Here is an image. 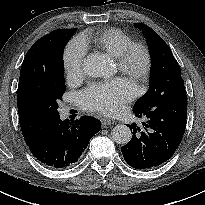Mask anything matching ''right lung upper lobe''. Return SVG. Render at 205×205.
Here are the masks:
<instances>
[{
    "label": "right lung upper lobe",
    "mask_w": 205,
    "mask_h": 205,
    "mask_svg": "<svg viewBox=\"0 0 205 205\" xmlns=\"http://www.w3.org/2000/svg\"><path fill=\"white\" fill-rule=\"evenodd\" d=\"M72 31L74 29H60L50 32L37 40L24 58L17 90V105L19 122L26 144L30 143L33 136L50 121L32 103L30 99L31 86L45 67L49 54L59 37L63 33Z\"/></svg>",
    "instance_id": "obj_1"
}]
</instances>
